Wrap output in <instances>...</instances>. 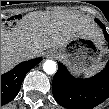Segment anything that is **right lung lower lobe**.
Segmentation results:
<instances>
[{"label": "right lung lower lobe", "instance_id": "98d812e1", "mask_svg": "<svg viewBox=\"0 0 109 109\" xmlns=\"http://www.w3.org/2000/svg\"><path fill=\"white\" fill-rule=\"evenodd\" d=\"M42 58L25 61L18 64L11 71L1 75V105L15 98L18 94L26 73L36 66Z\"/></svg>", "mask_w": 109, "mask_h": 109}]
</instances>
